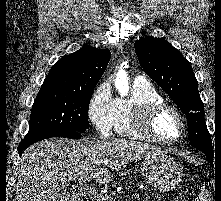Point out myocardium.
Wrapping results in <instances>:
<instances>
[{"mask_svg":"<svg viewBox=\"0 0 221 201\" xmlns=\"http://www.w3.org/2000/svg\"><path fill=\"white\" fill-rule=\"evenodd\" d=\"M166 112L173 114L179 122L180 133L175 138H162L154 131V122L161 114ZM131 126L142 138L159 144L175 143L184 136L186 131V125L181 113L164 101L150 102L136 107L131 114Z\"/></svg>","mask_w":221,"mask_h":201,"instance_id":"obj_1","label":"myocardium"}]
</instances>
